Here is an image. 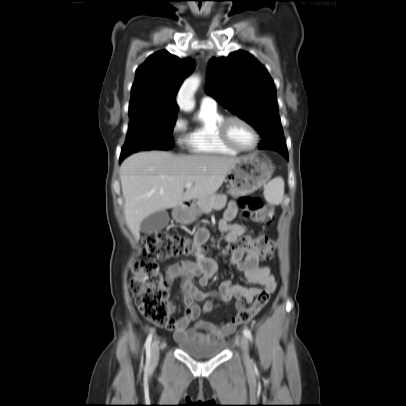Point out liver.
<instances>
[{
    "mask_svg": "<svg viewBox=\"0 0 406 406\" xmlns=\"http://www.w3.org/2000/svg\"><path fill=\"white\" fill-rule=\"evenodd\" d=\"M239 157L174 155L164 151L133 154L120 167L126 224L135 236L149 215L183 201L213 196ZM192 183L184 192L185 185Z\"/></svg>",
    "mask_w": 406,
    "mask_h": 406,
    "instance_id": "liver-1",
    "label": "liver"
}]
</instances>
